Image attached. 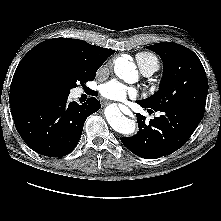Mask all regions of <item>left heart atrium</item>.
Returning a JSON list of instances; mask_svg holds the SVG:
<instances>
[{
  "label": "left heart atrium",
  "instance_id": "39dd6f15",
  "mask_svg": "<svg viewBox=\"0 0 221 221\" xmlns=\"http://www.w3.org/2000/svg\"><path fill=\"white\" fill-rule=\"evenodd\" d=\"M100 91L103 97L115 101H125L127 98H135L137 95L133 88L114 80L104 84Z\"/></svg>",
  "mask_w": 221,
  "mask_h": 221
}]
</instances>
